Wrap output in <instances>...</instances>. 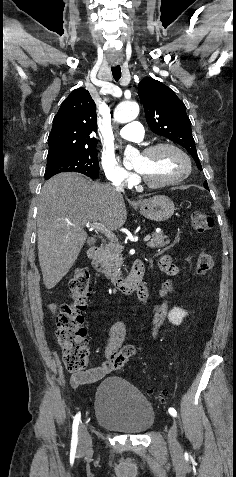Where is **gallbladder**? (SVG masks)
Instances as JSON below:
<instances>
[{
  "label": "gallbladder",
  "mask_w": 236,
  "mask_h": 477,
  "mask_svg": "<svg viewBox=\"0 0 236 477\" xmlns=\"http://www.w3.org/2000/svg\"><path fill=\"white\" fill-rule=\"evenodd\" d=\"M89 245H92L94 243L93 240L89 239L88 242H87Z\"/></svg>",
  "instance_id": "bac80fb5"
}]
</instances>
